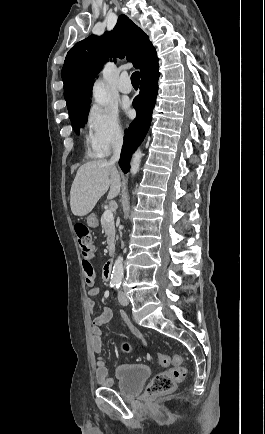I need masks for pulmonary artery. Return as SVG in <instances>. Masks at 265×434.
I'll return each instance as SVG.
<instances>
[{
    "label": "pulmonary artery",
    "instance_id": "pulmonary-artery-1",
    "mask_svg": "<svg viewBox=\"0 0 265 434\" xmlns=\"http://www.w3.org/2000/svg\"><path fill=\"white\" fill-rule=\"evenodd\" d=\"M129 80V75L127 73H124L121 76V81H118L117 88L120 92L124 94H128L133 89V82L132 81H125Z\"/></svg>",
    "mask_w": 265,
    "mask_h": 434
}]
</instances>
